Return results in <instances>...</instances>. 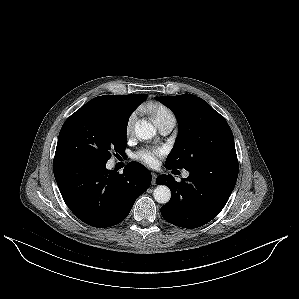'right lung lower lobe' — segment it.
I'll return each mask as SVG.
<instances>
[{"label": "right lung lower lobe", "instance_id": "right-lung-lower-lobe-1", "mask_svg": "<svg viewBox=\"0 0 299 299\" xmlns=\"http://www.w3.org/2000/svg\"><path fill=\"white\" fill-rule=\"evenodd\" d=\"M53 171L68 208L97 228L123 221L151 184L149 170L138 162L128 163L119 174L106 169V162L60 153L55 154Z\"/></svg>", "mask_w": 299, "mask_h": 299}]
</instances>
